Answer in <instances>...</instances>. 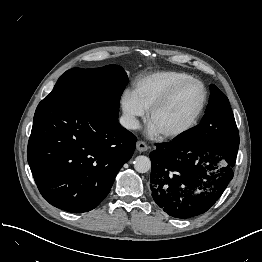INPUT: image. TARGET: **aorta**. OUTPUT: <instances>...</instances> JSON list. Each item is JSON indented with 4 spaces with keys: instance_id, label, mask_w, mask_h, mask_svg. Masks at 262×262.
Instances as JSON below:
<instances>
[{
    "instance_id": "obj_1",
    "label": "aorta",
    "mask_w": 262,
    "mask_h": 262,
    "mask_svg": "<svg viewBox=\"0 0 262 262\" xmlns=\"http://www.w3.org/2000/svg\"><path fill=\"white\" fill-rule=\"evenodd\" d=\"M134 168L139 173H146L151 169V161L144 155L137 156L134 160Z\"/></svg>"
}]
</instances>
